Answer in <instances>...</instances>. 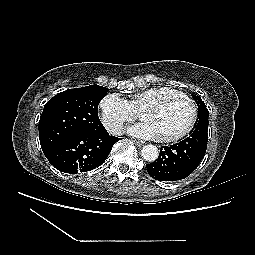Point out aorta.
I'll return each mask as SVG.
<instances>
[{
	"label": "aorta",
	"instance_id": "1",
	"mask_svg": "<svg viewBox=\"0 0 255 255\" xmlns=\"http://www.w3.org/2000/svg\"><path fill=\"white\" fill-rule=\"evenodd\" d=\"M141 156L143 157L144 160L153 162L159 156L158 148L151 144L145 145L141 150Z\"/></svg>",
	"mask_w": 255,
	"mask_h": 255
}]
</instances>
